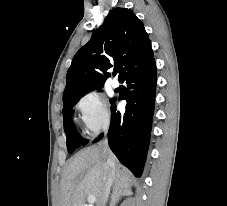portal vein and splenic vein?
I'll return each mask as SVG.
<instances>
[{"instance_id":"portal-vein-and-splenic-vein-1","label":"portal vein and splenic vein","mask_w":227,"mask_h":206,"mask_svg":"<svg viewBox=\"0 0 227 206\" xmlns=\"http://www.w3.org/2000/svg\"><path fill=\"white\" fill-rule=\"evenodd\" d=\"M87 201H88L90 204H93V203H95L96 198H95L94 195H88Z\"/></svg>"}]
</instances>
